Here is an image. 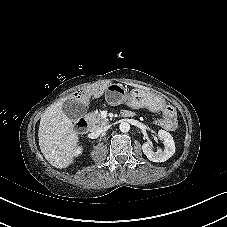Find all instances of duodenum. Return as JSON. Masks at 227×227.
Instances as JSON below:
<instances>
[{
  "mask_svg": "<svg viewBox=\"0 0 227 227\" xmlns=\"http://www.w3.org/2000/svg\"><path fill=\"white\" fill-rule=\"evenodd\" d=\"M76 128L81 133H87L89 131V121L86 119H80L76 123Z\"/></svg>",
  "mask_w": 227,
  "mask_h": 227,
  "instance_id": "duodenum-1",
  "label": "duodenum"
}]
</instances>
